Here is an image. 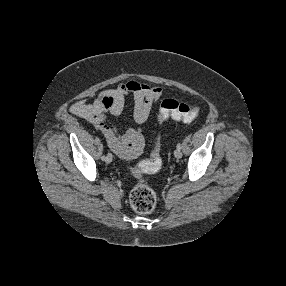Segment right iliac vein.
Wrapping results in <instances>:
<instances>
[{
    "label": "right iliac vein",
    "instance_id": "right-iliac-vein-1",
    "mask_svg": "<svg viewBox=\"0 0 286 286\" xmlns=\"http://www.w3.org/2000/svg\"><path fill=\"white\" fill-rule=\"evenodd\" d=\"M112 158H113L112 154L108 153L107 156H106V159H105L106 163H111L112 162Z\"/></svg>",
    "mask_w": 286,
    "mask_h": 286
}]
</instances>
